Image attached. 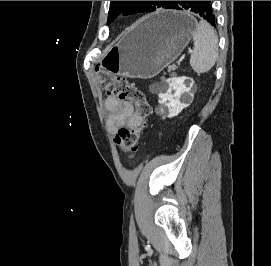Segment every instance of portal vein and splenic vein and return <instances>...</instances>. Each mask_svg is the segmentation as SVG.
<instances>
[{"mask_svg": "<svg viewBox=\"0 0 271 266\" xmlns=\"http://www.w3.org/2000/svg\"><path fill=\"white\" fill-rule=\"evenodd\" d=\"M193 51L192 50H189V53H192Z\"/></svg>", "mask_w": 271, "mask_h": 266, "instance_id": "1", "label": "portal vein and splenic vein"}]
</instances>
